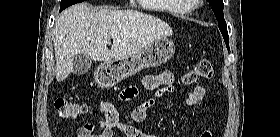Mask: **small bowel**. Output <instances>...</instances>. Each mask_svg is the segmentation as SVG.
<instances>
[{
	"instance_id": "obj_1",
	"label": "small bowel",
	"mask_w": 280,
	"mask_h": 137,
	"mask_svg": "<svg viewBox=\"0 0 280 137\" xmlns=\"http://www.w3.org/2000/svg\"><path fill=\"white\" fill-rule=\"evenodd\" d=\"M142 85L148 90L157 88H160V90L157 91L152 98L133 109L131 113L133 124L120 123L119 113L114 104L111 102H104L101 105V112L104 115V120L99 121L97 124L86 122L77 130V137H115L116 132L123 133L126 137H151L140 128L138 124L146 119L149 111L163 95L176 89L175 77L172 73L167 71L149 74L143 78ZM126 90H130L133 96L138 92L136 86H129ZM205 96V88L197 86L186 94L185 104L189 107H194L202 102ZM121 100L123 99L121 98ZM96 128H99L100 133H95Z\"/></svg>"
}]
</instances>
